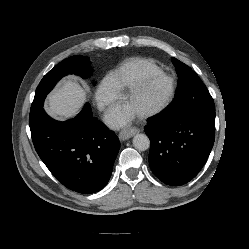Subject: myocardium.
<instances>
[{"label":"myocardium","mask_w":249,"mask_h":249,"mask_svg":"<svg viewBox=\"0 0 249 249\" xmlns=\"http://www.w3.org/2000/svg\"><path fill=\"white\" fill-rule=\"evenodd\" d=\"M159 80L169 81L170 83L169 92L166 95V97L162 100L161 103H159L155 107H152L150 109H147L143 112L138 113L137 116L141 119H146V118H150L155 115H158L170 105V103L172 102L175 96V90H176L174 79L165 73L155 74V75L146 77L142 79L140 82H138L137 84H135L133 87H131L124 97V101L128 103L132 101L138 94H140L149 85Z\"/></svg>","instance_id":"myocardium-1"}]
</instances>
